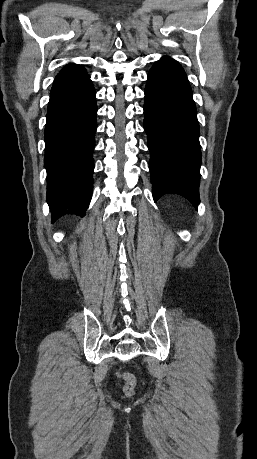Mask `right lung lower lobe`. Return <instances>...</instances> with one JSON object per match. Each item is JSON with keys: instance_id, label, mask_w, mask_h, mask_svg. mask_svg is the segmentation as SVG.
Listing matches in <instances>:
<instances>
[{"instance_id": "98d812e1", "label": "right lung lower lobe", "mask_w": 257, "mask_h": 459, "mask_svg": "<svg viewBox=\"0 0 257 459\" xmlns=\"http://www.w3.org/2000/svg\"><path fill=\"white\" fill-rule=\"evenodd\" d=\"M90 76L56 80L45 127L47 203L52 222L65 214L83 217L93 185L97 106Z\"/></svg>"}]
</instances>
